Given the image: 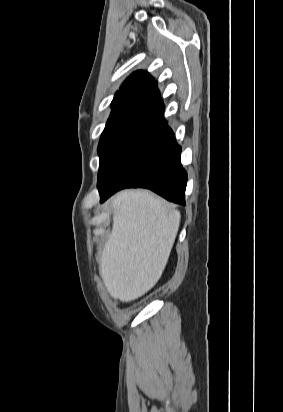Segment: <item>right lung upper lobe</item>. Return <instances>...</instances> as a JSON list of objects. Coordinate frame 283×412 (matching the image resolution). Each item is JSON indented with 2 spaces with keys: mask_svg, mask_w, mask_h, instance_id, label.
<instances>
[{
  "mask_svg": "<svg viewBox=\"0 0 283 412\" xmlns=\"http://www.w3.org/2000/svg\"><path fill=\"white\" fill-rule=\"evenodd\" d=\"M109 118L122 115L162 114L164 106L157 84L147 72L136 71L122 84L112 101Z\"/></svg>",
  "mask_w": 283,
  "mask_h": 412,
  "instance_id": "cb5924a9",
  "label": "right lung upper lobe"
}]
</instances>
